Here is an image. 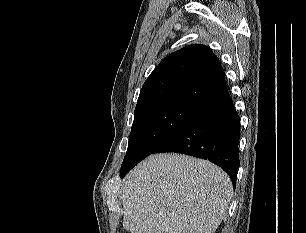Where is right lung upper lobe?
<instances>
[{
  "label": "right lung upper lobe",
  "instance_id": "right-lung-upper-lobe-1",
  "mask_svg": "<svg viewBox=\"0 0 306 233\" xmlns=\"http://www.w3.org/2000/svg\"><path fill=\"white\" fill-rule=\"evenodd\" d=\"M228 94L224 70L208 47L189 45L166 57L142 86L136 109L160 99H185L202 106Z\"/></svg>",
  "mask_w": 306,
  "mask_h": 233
}]
</instances>
